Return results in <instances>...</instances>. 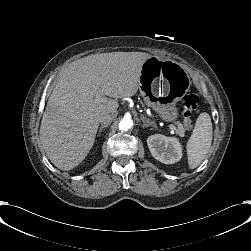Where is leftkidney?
Returning <instances> with one entry per match:
<instances>
[{
	"label": "left kidney",
	"mask_w": 251,
	"mask_h": 251,
	"mask_svg": "<svg viewBox=\"0 0 251 251\" xmlns=\"http://www.w3.org/2000/svg\"><path fill=\"white\" fill-rule=\"evenodd\" d=\"M147 145L152 156L164 164H174L182 158L181 144L176 138L155 134L147 138Z\"/></svg>",
	"instance_id": "1"
}]
</instances>
